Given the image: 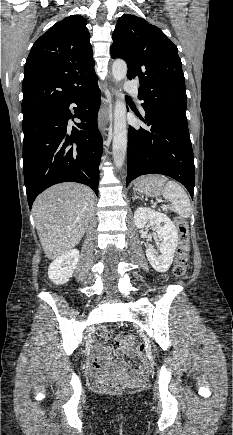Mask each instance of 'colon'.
<instances>
[{"label":"colon","mask_w":233,"mask_h":435,"mask_svg":"<svg viewBox=\"0 0 233 435\" xmlns=\"http://www.w3.org/2000/svg\"><path fill=\"white\" fill-rule=\"evenodd\" d=\"M175 226L179 232V244L176 249L175 264L173 273L176 277L181 278L186 275L188 266V255L190 250L188 225L184 218L176 216L174 218ZM97 334L102 339H109L112 336V331L107 326H100ZM116 344L130 343L134 340L125 333L117 334L114 338ZM141 348L140 344H137ZM124 386L122 384L106 380L101 385V391L104 394L114 395L123 392Z\"/></svg>","instance_id":"5ec220e1"}]
</instances>
